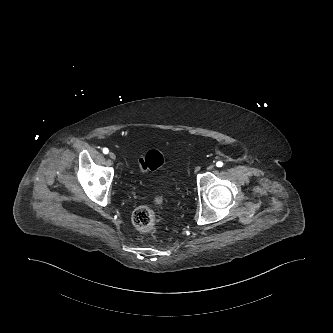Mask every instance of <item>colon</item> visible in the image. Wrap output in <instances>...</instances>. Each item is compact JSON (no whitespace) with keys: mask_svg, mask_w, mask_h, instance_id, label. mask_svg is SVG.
<instances>
[{"mask_svg":"<svg viewBox=\"0 0 333 333\" xmlns=\"http://www.w3.org/2000/svg\"><path fill=\"white\" fill-rule=\"evenodd\" d=\"M164 163L163 155L156 149L149 150L140 161V170L143 172L159 169ZM154 205L161 207L163 198L157 196L154 199ZM157 217L154 210L147 206L138 207L132 215L133 225L142 232H150L156 226Z\"/></svg>","mask_w":333,"mask_h":333,"instance_id":"5ec220e1","label":"colon"}]
</instances>
